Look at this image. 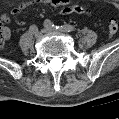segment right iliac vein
Segmentation results:
<instances>
[{
	"label": "right iliac vein",
	"instance_id": "right-iliac-vein-1",
	"mask_svg": "<svg viewBox=\"0 0 119 119\" xmlns=\"http://www.w3.org/2000/svg\"><path fill=\"white\" fill-rule=\"evenodd\" d=\"M35 38H40L42 36V32L41 31H37L34 33Z\"/></svg>",
	"mask_w": 119,
	"mask_h": 119
}]
</instances>
